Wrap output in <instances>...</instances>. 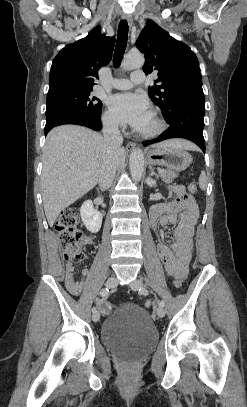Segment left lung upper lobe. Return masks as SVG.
<instances>
[{
  "label": "left lung upper lobe",
  "mask_w": 247,
  "mask_h": 407,
  "mask_svg": "<svg viewBox=\"0 0 247 407\" xmlns=\"http://www.w3.org/2000/svg\"><path fill=\"white\" fill-rule=\"evenodd\" d=\"M145 54L143 71H157L158 79L148 95L157 104L164 118L177 107L205 106L199 62L195 53L168 32L149 20L136 41Z\"/></svg>",
  "instance_id": "left-lung-upper-lobe-1"
}]
</instances>
